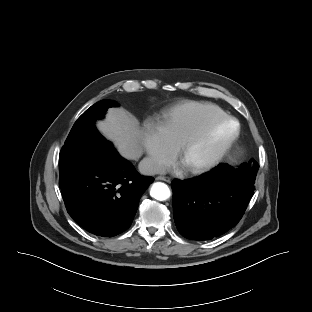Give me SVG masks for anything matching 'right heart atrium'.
<instances>
[{"label":"right heart atrium","mask_w":312,"mask_h":312,"mask_svg":"<svg viewBox=\"0 0 312 312\" xmlns=\"http://www.w3.org/2000/svg\"><path fill=\"white\" fill-rule=\"evenodd\" d=\"M141 139L147 154V167L153 173L169 164L177 151L161 120L153 118L146 120L142 127Z\"/></svg>","instance_id":"1"}]
</instances>
